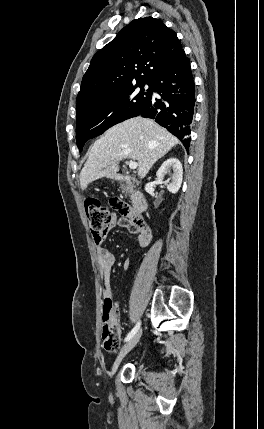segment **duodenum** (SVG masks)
<instances>
[{"label": "duodenum", "instance_id": "obj_1", "mask_svg": "<svg viewBox=\"0 0 264 429\" xmlns=\"http://www.w3.org/2000/svg\"><path fill=\"white\" fill-rule=\"evenodd\" d=\"M113 178L116 181H122L128 184H133L132 178L126 175L117 173L113 176ZM133 209H134L133 217L135 220H140L142 213L147 209V200L144 194L135 187L133 191Z\"/></svg>", "mask_w": 264, "mask_h": 429}]
</instances>
